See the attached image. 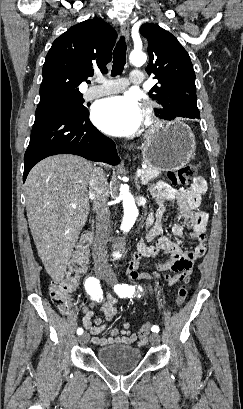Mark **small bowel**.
I'll list each match as a JSON object with an SVG mask.
<instances>
[{"instance_id": "c3829d8e", "label": "small bowel", "mask_w": 243, "mask_h": 409, "mask_svg": "<svg viewBox=\"0 0 243 409\" xmlns=\"http://www.w3.org/2000/svg\"><path fill=\"white\" fill-rule=\"evenodd\" d=\"M207 191L205 179L198 177L193 184L187 188L175 189L165 182L156 183L152 189V196L158 204L156 212V223L150 231L147 240L141 242L138 246L137 258L129 272L132 279H154L161 278L168 286H173L178 282L188 283L190 273L197 259L201 258L206 252V230L208 217L205 212L199 209L202 196ZM176 203L177 209L184 220L185 226L190 230V238L197 241V245L191 250H184L177 243L172 242L161 235V221L165 214V202ZM172 234L180 239H185L183 227L174 224L171 228ZM153 244H149L150 242ZM165 257L162 260H156V268L164 272L161 276L158 273H140L138 272L139 260L141 258L157 259L159 255ZM100 311L105 316V322L100 318L94 317V311L89 306L82 308V323L86 330L91 334V342L97 346H106L111 344L131 345L138 339L136 333L132 332L128 323H122L120 328L109 329V324L113 321L117 313L116 300L106 295L100 307ZM109 333L110 337H100L99 335ZM147 342V338L140 339L138 344L141 346Z\"/></svg>"}]
</instances>
